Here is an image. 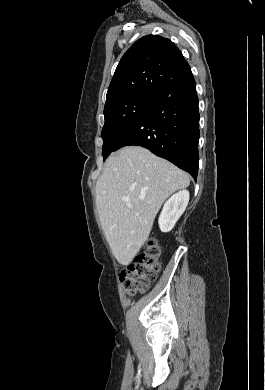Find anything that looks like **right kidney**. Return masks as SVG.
<instances>
[{
	"mask_svg": "<svg viewBox=\"0 0 265 390\" xmlns=\"http://www.w3.org/2000/svg\"><path fill=\"white\" fill-rule=\"evenodd\" d=\"M189 202V192L182 190L172 195L164 204L159 216V227L162 232H169L185 211Z\"/></svg>",
	"mask_w": 265,
	"mask_h": 390,
	"instance_id": "1",
	"label": "right kidney"
}]
</instances>
